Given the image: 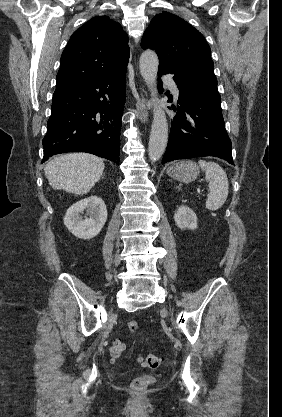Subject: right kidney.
<instances>
[{"mask_svg":"<svg viewBox=\"0 0 282 417\" xmlns=\"http://www.w3.org/2000/svg\"><path fill=\"white\" fill-rule=\"evenodd\" d=\"M86 211L89 217L82 219L80 213ZM107 219L106 204L100 196H87L69 206L64 217V225L78 239H93L99 235Z\"/></svg>","mask_w":282,"mask_h":417,"instance_id":"ca27d5eb","label":"right kidney"}]
</instances>
